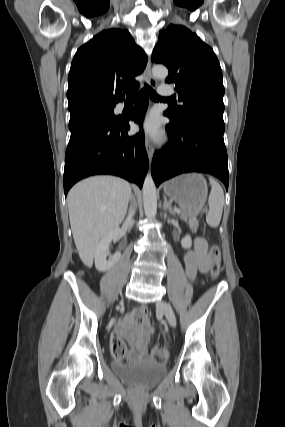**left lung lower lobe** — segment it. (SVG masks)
Returning <instances> with one entry per match:
<instances>
[{
  "label": "left lung lower lobe",
  "instance_id": "left-lung-lower-lobe-1",
  "mask_svg": "<svg viewBox=\"0 0 285 427\" xmlns=\"http://www.w3.org/2000/svg\"><path fill=\"white\" fill-rule=\"evenodd\" d=\"M170 118L166 126L169 143L166 152H156L152 175L156 186L178 174L209 173L228 189V159L224 144V121L212 115H200L185 122Z\"/></svg>",
  "mask_w": 285,
  "mask_h": 427
}]
</instances>
